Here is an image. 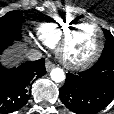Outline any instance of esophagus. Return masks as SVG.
Returning <instances> with one entry per match:
<instances>
[{
    "label": "esophagus",
    "mask_w": 114,
    "mask_h": 114,
    "mask_svg": "<svg viewBox=\"0 0 114 114\" xmlns=\"http://www.w3.org/2000/svg\"><path fill=\"white\" fill-rule=\"evenodd\" d=\"M55 66L54 63H52L51 61H46L45 67L47 71H50L53 67Z\"/></svg>",
    "instance_id": "1"
}]
</instances>
